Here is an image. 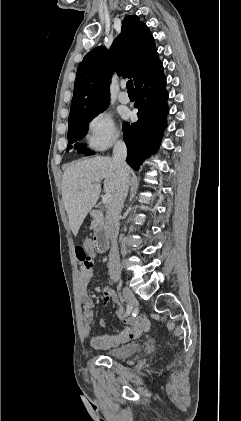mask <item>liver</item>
Returning a JSON list of instances; mask_svg holds the SVG:
<instances>
[{"mask_svg":"<svg viewBox=\"0 0 241 421\" xmlns=\"http://www.w3.org/2000/svg\"><path fill=\"white\" fill-rule=\"evenodd\" d=\"M102 180L105 194H111L113 197L118 174L113 159L107 156H96L72 163L63 174L62 199L70 229L75 236L99 199Z\"/></svg>","mask_w":241,"mask_h":421,"instance_id":"6515ba94","label":"liver"}]
</instances>
